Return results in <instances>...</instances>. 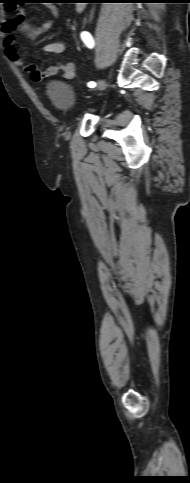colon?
<instances>
[{
	"label": "colon",
	"instance_id": "colon-1",
	"mask_svg": "<svg viewBox=\"0 0 190 483\" xmlns=\"http://www.w3.org/2000/svg\"><path fill=\"white\" fill-rule=\"evenodd\" d=\"M18 3H21V1H19V0H16V1H7V4H8L9 6H11L10 8H11L12 10H15V9L17 8V6H18V5H21V4H18Z\"/></svg>",
	"mask_w": 190,
	"mask_h": 483
}]
</instances>
